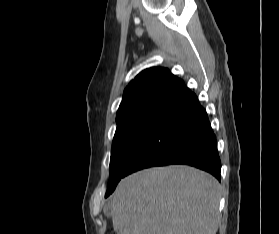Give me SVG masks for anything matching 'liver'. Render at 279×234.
<instances>
[{"mask_svg":"<svg viewBox=\"0 0 279 234\" xmlns=\"http://www.w3.org/2000/svg\"><path fill=\"white\" fill-rule=\"evenodd\" d=\"M219 200L213 176L175 165L122 179L104 209L117 234H216Z\"/></svg>","mask_w":279,"mask_h":234,"instance_id":"1","label":"liver"}]
</instances>
